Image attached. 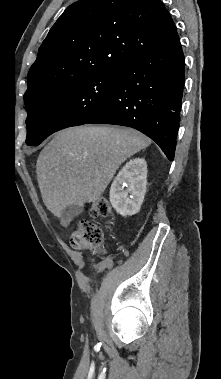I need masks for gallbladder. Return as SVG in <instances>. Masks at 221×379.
Here are the masks:
<instances>
[{
  "label": "gallbladder",
  "mask_w": 221,
  "mask_h": 379,
  "mask_svg": "<svg viewBox=\"0 0 221 379\" xmlns=\"http://www.w3.org/2000/svg\"><path fill=\"white\" fill-rule=\"evenodd\" d=\"M84 205H69L66 206L61 213V224L68 225L75 217L83 212Z\"/></svg>",
  "instance_id": "1"
}]
</instances>
